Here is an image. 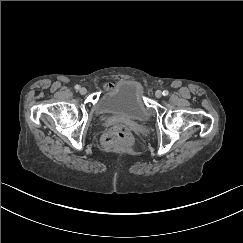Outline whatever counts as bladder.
I'll list each match as a JSON object with an SVG mask.
<instances>
[{
  "label": "bladder",
  "instance_id": "bladder-1",
  "mask_svg": "<svg viewBox=\"0 0 243 243\" xmlns=\"http://www.w3.org/2000/svg\"><path fill=\"white\" fill-rule=\"evenodd\" d=\"M95 111L104 117H119L138 122L149 119L143 101V87L136 80H121L107 90L95 104Z\"/></svg>",
  "mask_w": 243,
  "mask_h": 243
}]
</instances>
